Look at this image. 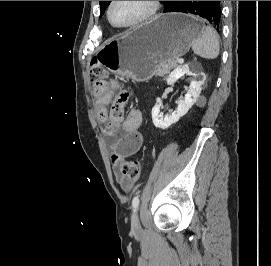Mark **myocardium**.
I'll return each mask as SVG.
<instances>
[{"instance_id": "1", "label": "myocardium", "mask_w": 271, "mask_h": 266, "mask_svg": "<svg viewBox=\"0 0 271 266\" xmlns=\"http://www.w3.org/2000/svg\"><path fill=\"white\" fill-rule=\"evenodd\" d=\"M114 3L115 1H110L107 7V19L113 27L118 28V29H132V28L138 27L148 22L149 20H151L159 10V1H147L148 10L142 17H140L138 20H136L133 23L126 24V25H118L113 22L112 17H111V9Z\"/></svg>"}]
</instances>
